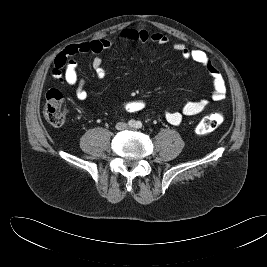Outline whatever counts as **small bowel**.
Instances as JSON below:
<instances>
[{"label":"small bowel","instance_id":"c3829d8e","mask_svg":"<svg viewBox=\"0 0 267 267\" xmlns=\"http://www.w3.org/2000/svg\"><path fill=\"white\" fill-rule=\"evenodd\" d=\"M151 41L157 45H167L169 38L160 32H150L145 29L125 28L118 32L113 38H102L85 41L67 46L55 59L52 68L53 77L62 84L75 88V95L78 100L87 99L85 80L77 73L75 57L79 54L91 53L94 55L92 68L98 78L105 75L102 65L101 53L112 45L123 42H147ZM173 49L184 59L192 60L204 67L210 74L213 81V93L210 98H200L194 101L185 102L179 110H166V120L178 126L182 123L184 116H194L206 110L210 101H221L226 97L227 87L220 71L213 65L208 55L200 49H189L180 42L173 44Z\"/></svg>","mask_w":267,"mask_h":267}]
</instances>
